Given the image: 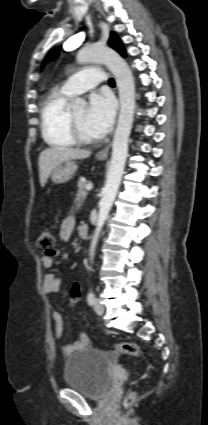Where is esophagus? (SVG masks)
Wrapping results in <instances>:
<instances>
[{"label":"esophagus","mask_w":208,"mask_h":425,"mask_svg":"<svg viewBox=\"0 0 208 425\" xmlns=\"http://www.w3.org/2000/svg\"><path fill=\"white\" fill-rule=\"evenodd\" d=\"M109 150H110V145H107L106 147H104L103 149H101L98 153L97 156L98 157H107L109 154Z\"/></svg>","instance_id":"1"}]
</instances>
